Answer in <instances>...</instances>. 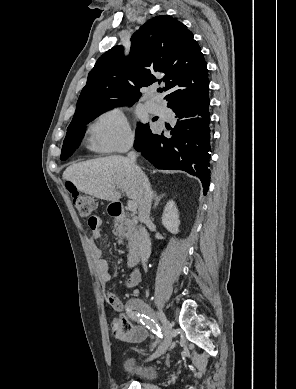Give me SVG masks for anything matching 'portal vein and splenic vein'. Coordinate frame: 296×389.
I'll return each mask as SVG.
<instances>
[{"instance_id": "obj_1", "label": "portal vein and splenic vein", "mask_w": 296, "mask_h": 389, "mask_svg": "<svg viewBox=\"0 0 296 389\" xmlns=\"http://www.w3.org/2000/svg\"><path fill=\"white\" fill-rule=\"evenodd\" d=\"M127 209H128L129 211H131V212L136 211V209H137V204H136V202H134V201H129L128 204H127Z\"/></svg>"}]
</instances>
